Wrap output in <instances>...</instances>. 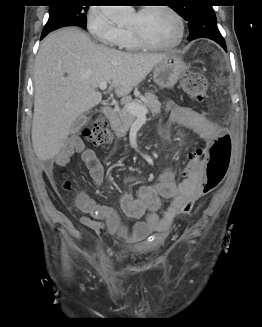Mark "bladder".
<instances>
[{"label": "bladder", "mask_w": 262, "mask_h": 327, "mask_svg": "<svg viewBox=\"0 0 262 327\" xmlns=\"http://www.w3.org/2000/svg\"><path fill=\"white\" fill-rule=\"evenodd\" d=\"M131 250L140 254H146L152 252L153 247L150 244L144 243L131 246Z\"/></svg>", "instance_id": "1"}]
</instances>
